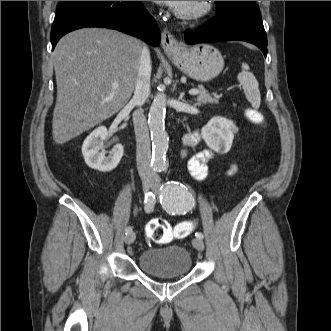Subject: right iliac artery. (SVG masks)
Instances as JSON below:
<instances>
[{
  "instance_id": "right-iliac-artery-1",
  "label": "right iliac artery",
  "mask_w": 331,
  "mask_h": 331,
  "mask_svg": "<svg viewBox=\"0 0 331 331\" xmlns=\"http://www.w3.org/2000/svg\"><path fill=\"white\" fill-rule=\"evenodd\" d=\"M155 203H156L155 195L151 192L147 193L145 195V206H144L145 212L150 213L153 210ZM130 232H132V228L128 226L125 230V234L127 235Z\"/></svg>"
}]
</instances>
